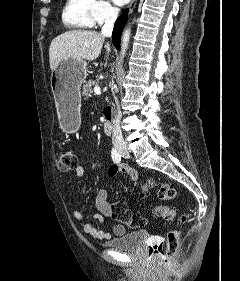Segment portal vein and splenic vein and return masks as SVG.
<instances>
[{
    "instance_id": "18ae733b",
    "label": "portal vein and splenic vein",
    "mask_w": 240,
    "mask_h": 281,
    "mask_svg": "<svg viewBox=\"0 0 240 281\" xmlns=\"http://www.w3.org/2000/svg\"><path fill=\"white\" fill-rule=\"evenodd\" d=\"M94 92H95V94L100 95V94H101V89H100V87H99V86H95V87H94Z\"/></svg>"
}]
</instances>
